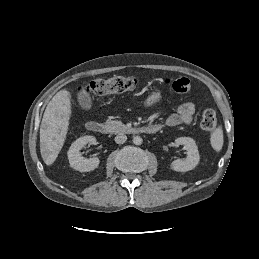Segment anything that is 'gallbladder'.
<instances>
[{"mask_svg": "<svg viewBox=\"0 0 259 259\" xmlns=\"http://www.w3.org/2000/svg\"><path fill=\"white\" fill-rule=\"evenodd\" d=\"M77 100L82 109L90 110L92 108L91 97L84 87H82L80 92L77 94Z\"/></svg>", "mask_w": 259, "mask_h": 259, "instance_id": "bac80fb5", "label": "gallbladder"}]
</instances>
